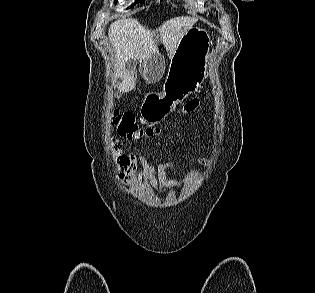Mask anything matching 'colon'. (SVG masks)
<instances>
[{
  "label": "colon",
  "instance_id": "obj_1",
  "mask_svg": "<svg viewBox=\"0 0 315 293\" xmlns=\"http://www.w3.org/2000/svg\"><path fill=\"white\" fill-rule=\"evenodd\" d=\"M200 105V100L197 98L187 101L183 108V114H189L194 112ZM113 123L118 129V133L127 137L128 139L150 138L158 135L161 130L158 127H139L136 123L135 117L132 113H119L114 112ZM113 153L117 158V162L120 167H125L129 159L126 155L121 153L120 147L117 141L113 142Z\"/></svg>",
  "mask_w": 315,
  "mask_h": 293
}]
</instances>
